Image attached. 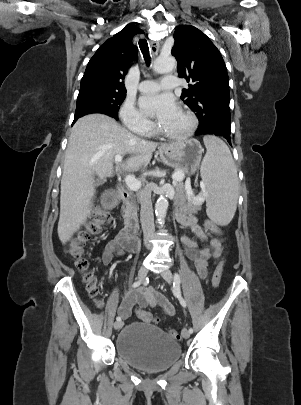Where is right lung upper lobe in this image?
Here are the masks:
<instances>
[{"label": "right lung upper lobe", "mask_w": 301, "mask_h": 405, "mask_svg": "<svg viewBox=\"0 0 301 405\" xmlns=\"http://www.w3.org/2000/svg\"><path fill=\"white\" fill-rule=\"evenodd\" d=\"M137 33L143 31L135 27H125L98 48L81 79L79 94L126 93L123 79L128 64L137 58L138 50L132 43V37Z\"/></svg>", "instance_id": "right-lung-upper-lobe-1"}]
</instances>
